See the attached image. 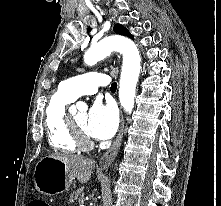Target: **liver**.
I'll use <instances>...</instances> for the list:
<instances>
[{
  "label": "liver",
  "instance_id": "6515ba94",
  "mask_svg": "<svg viewBox=\"0 0 221 206\" xmlns=\"http://www.w3.org/2000/svg\"><path fill=\"white\" fill-rule=\"evenodd\" d=\"M50 157L63 161L69 171L73 174L74 178H77L81 183H86L89 181L92 171L95 168V161L85 157L59 154H52ZM102 178L103 175L100 174L98 179L100 180Z\"/></svg>",
  "mask_w": 221,
  "mask_h": 206
}]
</instances>
